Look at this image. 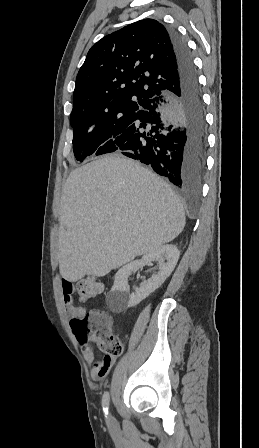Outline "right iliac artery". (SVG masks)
<instances>
[{
	"instance_id": "1",
	"label": "right iliac artery",
	"mask_w": 259,
	"mask_h": 448,
	"mask_svg": "<svg viewBox=\"0 0 259 448\" xmlns=\"http://www.w3.org/2000/svg\"><path fill=\"white\" fill-rule=\"evenodd\" d=\"M109 399H110L109 392H105L102 397V407H103L106 418H107V414H108Z\"/></svg>"
}]
</instances>
